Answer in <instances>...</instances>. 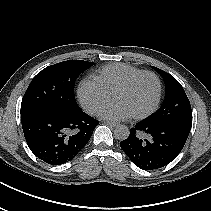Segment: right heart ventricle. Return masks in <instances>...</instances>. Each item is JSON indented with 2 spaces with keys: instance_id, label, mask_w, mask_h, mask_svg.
<instances>
[{
  "instance_id": "e07e8e85",
  "label": "right heart ventricle",
  "mask_w": 211,
  "mask_h": 211,
  "mask_svg": "<svg viewBox=\"0 0 211 211\" xmlns=\"http://www.w3.org/2000/svg\"><path fill=\"white\" fill-rule=\"evenodd\" d=\"M144 72V70L127 64H109L101 69L95 75V79L112 94L115 89L126 82L131 77Z\"/></svg>"
}]
</instances>
